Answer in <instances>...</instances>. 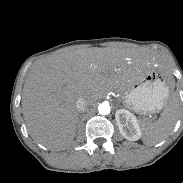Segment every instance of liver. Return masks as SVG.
<instances>
[{"mask_svg":"<svg viewBox=\"0 0 183 183\" xmlns=\"http://www.w3.org/2000/svg\"><path fill=\"white\" fill-rule=\"evenodd\" d=\"M155 63L142 51L108 47L69 50L36 61L21 101L30 136L49 149L66 147L75 137L79 98L89 106L109 92L122 93L135 75Z\"/></svg>","mask_w":183,"mask_h":183,"instance_id":"6515ba94","label":"liver"}]
</instances>
